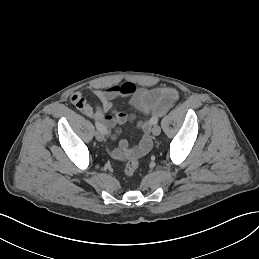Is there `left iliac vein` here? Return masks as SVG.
<instances>
[{"label": "left iliac vein", "instance_id": "left-iliac-vein-1", "mask_svg": "<svg viewBox=\"0 0 259 259\" xmlns=\"http://www.w3.org/2000/svg\"><path fill=\"white\" fill-rule=\"evenodd\" d=\"M152 133L155 135V136H158L160 133H161V128L160 126L158 125H155L152 129Z\"/></svg>", "mask_w": 259, "mask_h": 259}]
</instances>
